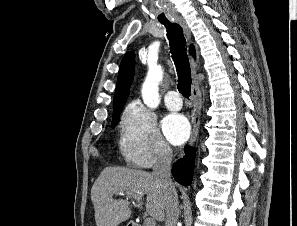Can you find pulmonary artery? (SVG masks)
<instances>
[{
  "mask_svg": "<svg viewBox=\"0 0 297 226\" xmlns=\"http://www.w3.org/2000/svg\"><path fill=\"white\" fill-rule=\"evenodd\" d=\"M164 101H165L166 107L172 111H177L182 106V100L179 97L178 92H176V91H169L165 95Z\"/></svg>",
  "mask_w": 297,
  "mask_h": 226,
  "instance_id": "1",
  "label": "pulmonary artery"
}]
</instances>
